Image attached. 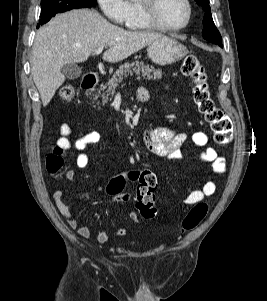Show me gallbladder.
<instances>
[{"instance_id": "obj_1", "label": "gallbladder", "mask_w": 267, "mask_h": 301, "mask_svg": "<svg viewBox=\"0 0 267 301\" xmlns=\"http://www.w3.org/2000/svg\"><path fill=\"white\" fill-rule=\"evenodd\" d=\"M61 72L66 78L70 80L77 79L82 74L81 68L77 66L75 63H69L63 65V67L61 68Z\"/></svg>"}]
</instances>
